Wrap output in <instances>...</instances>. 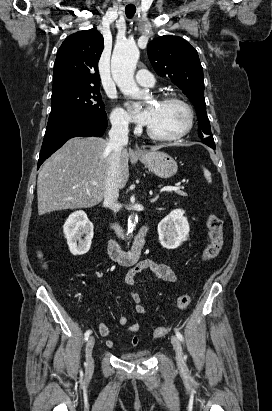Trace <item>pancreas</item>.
Returning <instances> with one entry per match:
<instances>
[{"instance_id":"cf45deb5","label":"pancreas","mask_w":272,"mask_h":411,"mask_svg":"<svg viewBox=\"0 0 272 411\" xmlns=\"http://www.w3.org/2000/svg\"><path fill=\"white\" fill-rule=\"evenodd\" d=\"M178 195H180V196H183V197H186L187 196V193L186 192H183V191H180V190H177V191H175ZM114 229H115V231L117 232V233H120V227L117 225V224H113V226H112Z\"/></svg>"}]
</instances>
